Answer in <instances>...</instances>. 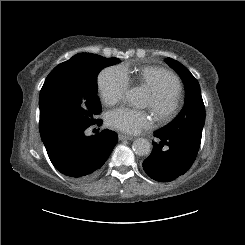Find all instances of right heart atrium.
<instances>
[{
    "mask_svg": "<svg viewBox=\"0 0 245 245\" xmlns=\"http://www.w3.org/2000/svg\"><path fill=\"white\" fill-rule=\"evenodd\" d=\"M98 90L105 104H113L120 100L129 86V79L124 68L118 65L103 69L97 79Z\"/></svg>",
    "mask_w": 245,
    "mask_h": 245,
    "instance_id": "1",
    "label": "right heart atrium"
}]
</instances>
